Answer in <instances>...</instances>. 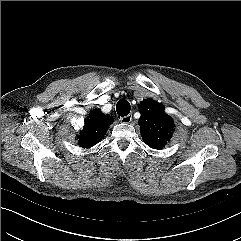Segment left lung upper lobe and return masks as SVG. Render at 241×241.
Here are the masks:
<instances>
[{"instance_id": "5c2ea615", "label": "left lung upper lobe", "mask_w": 241, "mask_h": 241, "mask_svg": "<svg viewBox=\"0 0 241 241\" xmlns=\"http://www.w3.org/2000/svg\"><path fill=\"white\" fill-rule=\"evenodd\" d=\"M140 131L144 141L153 149H162L171 139L175 127L162 104L152 99L140 103Z\"/></svg>"}]
</instances>
